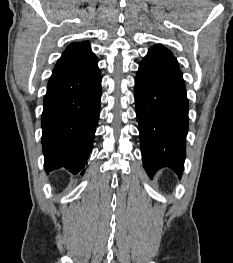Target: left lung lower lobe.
<instances>
[{
    "instance_id": "obj_1",
    "label": "left lung lower lobe",
    "mask_w": 233,
    "mask_h": 263,
    "mask_svg": "<svg viewBox=\"0 0 233 263\" xmlns=\"http://www.w3.org/2000/svg\"><path fill=\"white\" fill-rule=\"evenodd\" d=\"M135 103L143 165L149 176L163 167L182 175L189 103L173 54L153 46L139 64Z\"/></svg>"
}]
</instances>
